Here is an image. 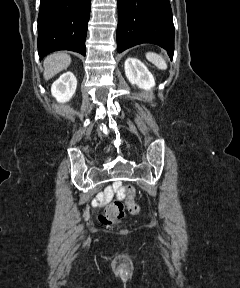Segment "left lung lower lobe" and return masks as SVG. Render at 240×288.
<instances>
[{
	"mask_svg": "<svg viewBox=\"0 0 240 288\" xmlns=\"http://www.w3.org/2000/svg\"><path fill=\"white\" fill-rule=\"evenodd\" d=\"M117 51L154 43L174 53V25L169 0H118Z\"/></svg>",
	"mask_w": 240,
	"mask_h": 288,
	"instance_id": "left-lung-lower-lobe-1",
	"label": "left lung lower lobe"
}]
</instances>
